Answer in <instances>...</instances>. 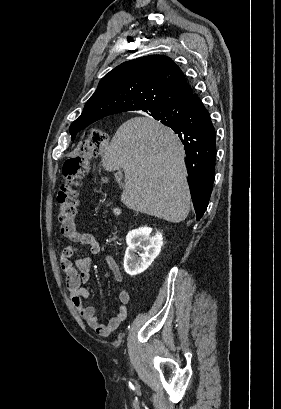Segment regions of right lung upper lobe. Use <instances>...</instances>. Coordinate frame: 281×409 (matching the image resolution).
<instances>
[{
	"mask_svg": "<svg viewBox=\"0 0 281 409\" xmlns=\"http://www.w3.org/2000/svg\"><path fill=\"white\" fill-rule=\"evenodd\" d=\"M193 94L180 68L169 58L151 55L127 61L106 74L71 128L84 129L108 115L150 112Z\"/></svg>",
	"mask_w": 281,
	"mask_h": 409,
	"instance_id": "1",
	"label": "right lung upper lobe"
}]
</instances>
